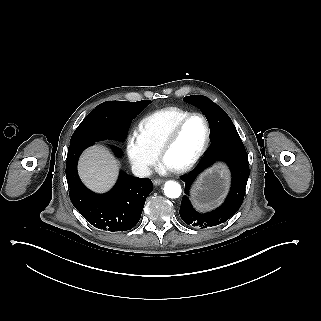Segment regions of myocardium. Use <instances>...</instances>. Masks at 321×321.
I'll list each match as a JSON object with an SVG mask.
<instances>
[{
  "instance_id": "myocardium-1",
  "label": "myocardium",
  "mask_w": 321,
  "mask_h": 321,
  "mask_svg": "<svg viewBox=\"0 0 321 321\" xmlns=\"http://www.w3.org/2000/svg\"><path fill=\"white\" fill-rule=\"evenodd\" d=\"M194 117H199L202 119L204 126H205V135H204V140L203 143L199 149V151L197 152V154L195 155V157L185 166L181 167V168H177L175 169L177 172L179 173H188L191 172L193 169H195L199 163L201 162V160L203 159V157L205 156L208 147H209V143H210V136H211V130H210V124L207 120V118L201 114V113H190L186 116H184L183 118H181L180 120H178L173 126L172 128L169 130V132L167 133V135L165 136L164 140L161 143L160 149H159V153L161 155L162 158L165 157V154L167 152V150L169 149V147L174 143V141L177 138V135L181 129V127L190 119L194 118Z\"/></svg>"
}]
</instances>
